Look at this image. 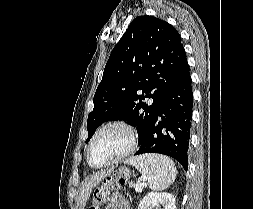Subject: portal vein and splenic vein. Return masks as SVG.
I'll use <instances>...</instances> for the list:
<instances>
[{"label":"portal vein and splenic vein","mask_w":253,"mask_h":209,"mask_svg":"<svg viewBox=\"0 0 253 209\" xmlns=\"http://www.w3.org/2000/svg\"><path fill=\"white\" fill-rule=\"evenodd\" d=\"M142 187H143V183H141L140 181L137 182L135 190L137 192H141L142 191Z\"/></svg>","instance_id":"1"}]
</instances>
